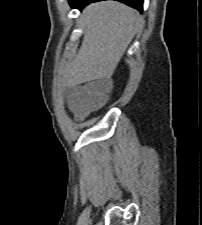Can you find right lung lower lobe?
I'll return each mask as SVG.
<instances>
[{
	"label": "right lung lower lobe",
	"mask_w": 202,
	"mask_h": 225,
	"mask_svg": "<svg viewBox=\"0 0 202 225\" xmlns=\"http://www.w3.org/2000/svg\"><path fill=\"white\" fill-rule=\"evenodd\" d=\"M101 0H69L71 7L73 8H83L86 4L91 2H97ZM123 2L131 7L136 8L139 11L143 10V0H117Z\"/></svg>",
	"instance_id": "98d812e1"
}]
</instances>
